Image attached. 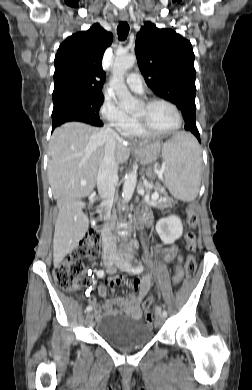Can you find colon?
Masks as SVG:
<instances>
[{
    "label": "colon",
    "mask_w": 252,
    "mask_h": 390,
    "mask_svg": "<svg viewBox=\"0 0 252 390\" xmlns=\"http://www.w3.org/2000/svg\"><path fill=\"white\" fill-rule=\"evenodd\" d=\"M198 222V216L193 207L187 210V224L190 229L195 228ZM99 235L95 232L90 233L88 236L81 239L78 245L74 248L72 253L62 261H60L53 270V276L62 289L66 291L78 290L84 282L83 279V265L82 259L87 257H95L99 254ZM186 249L193 253L196 250V235L191 230L185 236ZM186 276L191 278L196 270V262L193 255H189L185 264ZM134 289L137 287L134 285ZM153 302V298H149L145 306H150ZM153 317L151 314L146 315V322L151 324Z\"/></svg>",
    "instance_id": "5ec220e1"
}]
</instances>
